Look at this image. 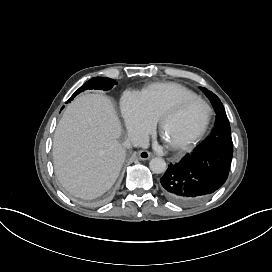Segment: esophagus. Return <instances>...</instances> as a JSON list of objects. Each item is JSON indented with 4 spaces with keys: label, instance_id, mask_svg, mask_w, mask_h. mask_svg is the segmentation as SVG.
<instances>
[{
    "label": "esophagus",
    "instance_id": "34e87169",
    "mask_svg": "<svg viewBox=\"0 0 272 272\" xmlns=\"http://www.w3.org/2000/svg\"><path fill=\"white\" fill-rule=\"evenodd\" d=\"M138 156H139V159H141V160H148V159H150L153 155H152V153L149 152L148 150H140Z\"/></svg>",
    "mask_w": 272,
    "mask_h": 272
}]
</instances>
